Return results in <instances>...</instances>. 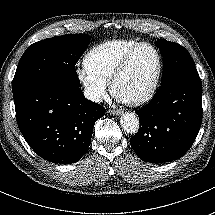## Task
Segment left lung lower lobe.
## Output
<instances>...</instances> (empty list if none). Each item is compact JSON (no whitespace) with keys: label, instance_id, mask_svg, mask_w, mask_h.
<instances>
[{"label":"left lung lower lobe","instance_id":"1","mask_svg":"<svg viewBox=\"0 0 215 215\" xmlns=\"http://www.w3.org/2000/svg\"><path fill=\"white\" fill-rule=\"evenodd\" d=\"M201 99L202 83L196 69L163 82L152 100L135 110L140 128L130 144L137 156L151 163L182 157L201 126Z\"/></svg>","mask_w":215,"mask_h":215}]
</instances>
